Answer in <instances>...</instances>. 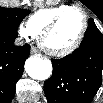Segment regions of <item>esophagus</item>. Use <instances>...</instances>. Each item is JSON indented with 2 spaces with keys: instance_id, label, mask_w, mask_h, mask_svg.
Returning a JSON list of instances; mask_svg holds the SVG:
<instances>
[{
  "instance_id": "esophagus-1",
  "label": "esophagus",
  "mask_w": 103,
  "mask_h": 103,
  "mask_svg": "<svg viewBox=\"0 0 103 103\" xmlns=\"http://www.w3.org/2000/svg\"><path fill=\"white\" fill-rule=\"evenodd\" d=\"M31 53H32V54H36V53H37V50L33 47V48H31Z\"/></svg>"
}]
</instances>
